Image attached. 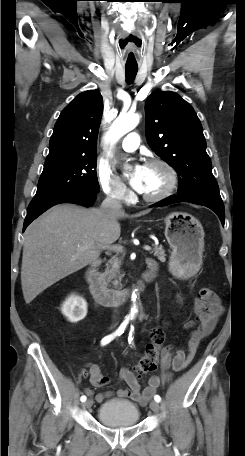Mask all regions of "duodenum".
<instances>
[{"instance_id":"duodenum-1","label":"duodenum","mask_w":245,"mask_h":456,"mask_svg":"<svg viewBox=\"0 0 245 456\" xmlns=\"http://www.w3.org/2000/svg\"><path fill=\"white\" fill-rule=\"evenodd\" d=\"M100 260H94L87 268L85 277L89 284L90 291L94 299L104 305H117L126 302L131 295L130 289L116 290L107 287L105 281L98 272ZM157 265L155 262H149V268L144 273L142 280L138 284V290L142 291L145 285L151 282L155 277Z\"/></svg>"}]
</instances>
